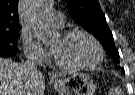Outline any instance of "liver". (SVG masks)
Segmentation results:
<instances>
[{
    "mask_svg": "<svg viewBox=\"0 0 135 95\" xmlns=\"http://www.w3.org/2000/svg\"><path fill=\"white\" fill-rule=\"evenodd\" d=\"M66 73H60L59 76ZM45 80L38 70L28 72L24 64L0 58V95H44Z\"/></svg>",
    "mask_w": 135,
    "mask_h": 95,
    "instance_id": "obj_1",
    "label": "liver"
}]
</instances>
